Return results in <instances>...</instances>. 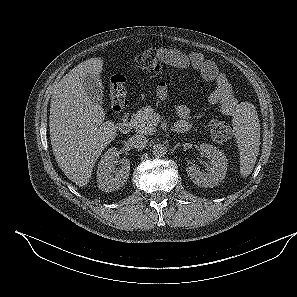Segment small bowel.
Returning <instances> with one entry per match:
<instances>
[{
  "mask_svg": "<svg viewBox=\"0 0 297 297\" xmlns=\"http://www.w3.org/2000/svg\"><path fill=\"white\" fill-rule=\"evenodd\" d=\"M158 55L167 65L178 68H192L198 71L204 80L215 82L216 89L209 95L208 101L212 105H219L223 114L234 117L240 112V102L235 97L226 74L219 70L214 61L207 59L197 51L185 53L171 47L159 48ZM157 95L162 100L167 98L168 83L166 81L159 82ZM177 113L180 118L178 122L189 124L190 110L188 107L179 106Z\"/></svg>",
  "mask_w": 297,
  "mask_h": 297,
  "instance_id": "1",
  "label": "small bowel"
}]
</instances>
